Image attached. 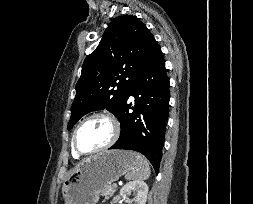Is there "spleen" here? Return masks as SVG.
Returning <instances> with one entry per match:
<instances>
[{
	"label": "spleen",
	"mask_w": 253,
	"mask_h": 204,
	"mask_svg": "<svg viewBox=\"0 0 253 204\" xmlns=\"http://www.w3.org/2000/svg\"><path fill=\"white\" fill-rule=\"evenodd\" d=\"M151 171L148 161L141 155H136V166L135 168L126 174L125 178L127 180L131 179H148L150 177Z\"/></svg>",
	"instance_id": "3e777b00"
}]
</instances>
